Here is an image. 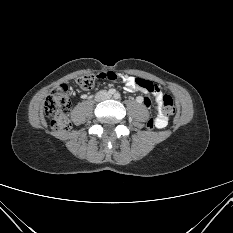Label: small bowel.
Masks as SVG:
<instances>
[{
    "label": "small bowel",
    "instance_id": "small-bowel-1",
    "mask_svg": "<svg viewBox=\"0 0 233 233\" xmlns=\"http://www.w3.org/2000/svg\"><path fill=\"white\" fill-rule=\"evenodd\" d=\"M97 80H117V81H123L126 87L127 91H136V90H142L141 88H139L136 84V78L132 77L130 74H124V73H119V72H105V73H98L97 74ZM144 92H146L145 90H142ZM155 98H156V103H157V116L155 118V127L158 129H162L164 127L167 126L168 124V117L167 115L163 112V110L161 109V104H162V97L163 94L162 92L159 91L156 92L155 94ZM137 102L140 104H144L145 106H150L151 104V100L149 98L146 97H142V96H138L137 97Z\"/></svg>",
    "mask_w": 233,
    "mask_h": 233
}]
</instances>
